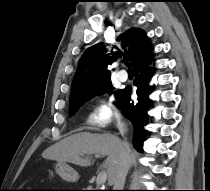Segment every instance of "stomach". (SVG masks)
Here are the masks:
<instances>
[{"instance_id":"0dacf381","label":"stomach","mask_w":210,"mask_h":191,"mask_svg":"<svg viewBox=\"0 0 210 191\" xmlns=\"http://www.w3.org/2000/svg\"><path fill=\"white\" fill-rule=\"evenodd\" d=\"M56 173L67 182H77L79 174L65 162H57L55 165Z\"/></svg>"}]
</instances>
